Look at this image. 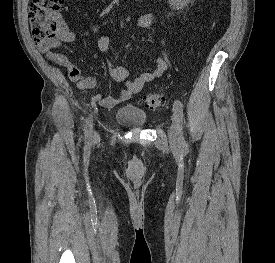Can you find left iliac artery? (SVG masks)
Segmentation results:
<instances>
[{
	"label": "left iliac artery",
	"instance_id": "obj_1",
	"mask_svg": "<svg viewBox=\"0 0 275 263\" xmlns=\"http://www.w3.org/2000/svg\"><path fill=\"white\" fill-rule=\"evenodd\" d=\"M174 111L175 114L177 115L178 121H179V141L181 144H185V140H184V136H183V118H184V114H183V105L179 100H176L174 102Z\"/></svg>",
	"mask_w": 275,
	"mask_h": 263
}]
</instances>
